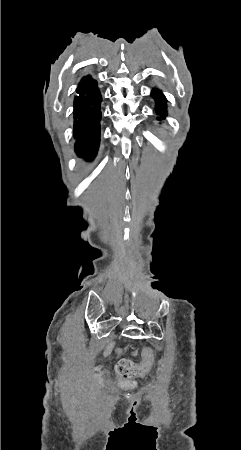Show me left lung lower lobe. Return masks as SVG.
Segmentation results:
<instances>
[{
	"instance_id": "left-lung-lower-lobe-1",
	"label": "left lung lower lobe",
	"mask_w": 241,
	"mask_h": 450,
	"mask_svg": "<svg viewBox=\"0 0 241 450\" xmlns=\"http://www.w3.org/2000/svg\"><path fill=\"white\" fill-rule=\"evenodd\" d=\"M152 96L156 100V103H157L156 113L160 115V117H158L157 119L161 121L162 119H165V117H166L165 97L162 94V92L157 89H154L152 91Z\"/></svg>"
}]
</instances>
